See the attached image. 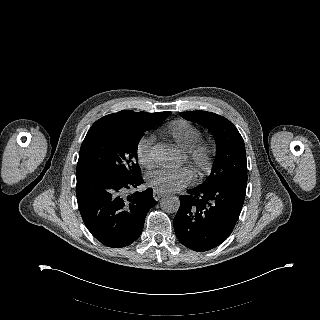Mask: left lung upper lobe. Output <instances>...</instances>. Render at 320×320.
<instances>
[{
    "label": "left lung upper lobe",
    "mask_w": 320,
    "mask_h": 320,
    "mask_svg": "<svg viewBox=\"0 0 320 320\" xmlns=\"http://www.w3.org/2000/svg\"><path fill=\"white\" fill-rule=\"evenodd\" d=\"M181 116L206 127L216 142V156L212 171L200 185L201 187H212L231 178L247 181L244 141L230 121L205 111L182 112Z\"/></svg>",
    "instance_id": "obj_1"
}]
</instances>
